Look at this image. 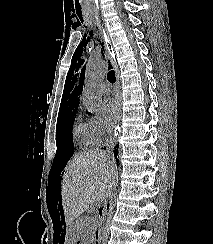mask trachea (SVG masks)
Wrapping results in <instances>:
<instances>
[{
    "label": "trachea",
    "instance_id": "1",
    "mask_svg": "<svg viewBox=\"0 0 213 244\" xmlns=\"http://www.w3.org/2000/svg\"><path fill=\"white\" fill-rule=\"evenodd\" d=\"M110 71L107 74V79L110 83H114L116 81V77H115V72L113 70H111L112 68H109Z\"/></svg>",
    "mask_w": 213,
    "mask_h": 244
}]
</instances>
